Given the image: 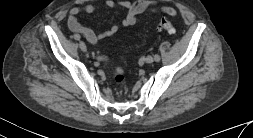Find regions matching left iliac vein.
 Wrapping results in <instances>:
<instances>
[{
	"label": "left iliac vein",
	"instance_id": "4c4485c4",
	"mask_svg": "<svg viewBox=\"0 0 253 138\" xmlns=\"http://www.w3.org/2000/svg\"><path fill=\"white\" fill-rule=\"evenodd\" d=\"M145 62L148 63V64L153 63V62H154L153 56L148 55V56L145 58Z\"/></svg>",
	"mask_w": 253,
	"mask_h": 138
}]
</instances>
